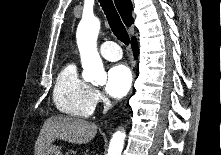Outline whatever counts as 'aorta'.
I'll return each mask as SVG.
<instances>
[{
  "label": "aorta",
  "instance_id": "aorta-1",
  "mask_svg": "<svg viewBox=\"0 0 221 155\" xmlns=\"http://www.w3.org/2000/svg\"><path fill=\"white\" fill-rule=\"evenodd\" d=\"M100 21L96 17L83 18L77 28L76 38L83 67V79L88 82H105L106 72L97 50V38ZM125 140V132L116 131L109 144L107 155H121Z\"/></svg>",
  "mask_w": 221,
  "mask_h": 155
}]
</instances>
